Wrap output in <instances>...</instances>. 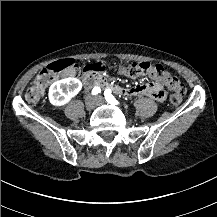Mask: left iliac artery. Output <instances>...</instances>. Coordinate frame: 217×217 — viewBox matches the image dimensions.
<instances>
[{"label":"left iliac artery","mask_w":217,"mask_h":217,"mask_svg":"<svg viewBox=\"0 0 217 217\" xmlns=\"http://www.w3.org/2000/svg\"><path fill=\"white\" fill-rule=\"evenodd\" d=\"M104 96H105V99L107 100V102H109V103L117 102L116 99L114 98V96L111 94V90H105Z\"/></svg>","instance_id":"44dca946"}]
</instances>
